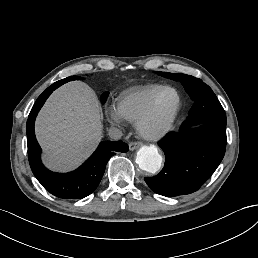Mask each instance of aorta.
I'll list each match as a JSON object with an SVG mask.
<instances>
[{
  "mask_svg": "<svg viewBox=\"0 0 258 258\" xmlns=\"http://www.w3.org/2000/svg\"><path fill=\"white\" fill-rule=\"evenodd\" d=\"M163 158L154 145L143 146L137 152L136 163L140 169L149 173H156L162 165Z\"/></svg>",
  "mask_w": 258,
  "mask_h": 258,
  "instance_id": "aorta-1",
  "label": "aorta"
}]
</instances>
